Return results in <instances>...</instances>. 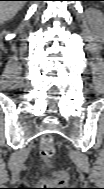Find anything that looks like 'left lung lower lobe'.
Here are the masks:
<instances>
[{"mask_svg": "<svg viewBox=\"0 0 104 189\" xmlns=\"http://www.w3.org/2000/svg\"><path fill=\"white\" fill-rule=\"evenodd\" d=\"M82 1H103V0H82Z\"/></svg>", "mask_w": 104, "mask_h": 189, "instance_id": "obj_1", "label": "left lung lower lobe"}]
</instances>
